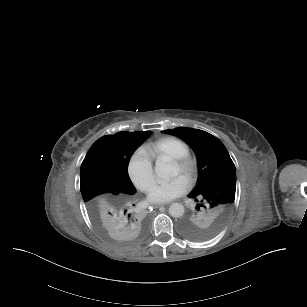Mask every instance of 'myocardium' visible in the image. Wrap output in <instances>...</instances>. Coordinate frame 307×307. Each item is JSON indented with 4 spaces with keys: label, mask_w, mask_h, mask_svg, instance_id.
Instances as JSON below:
<instances>
[{
    "label": "myocardium",
    "mask_w": 307,
    "mask_h": 307,
    "mask_svg": "<svg viewBox=\"0 0 307 307\" xmlns=\"http://www.w3.org/2000/svg\"><path fill=\"white\" fill-rule=\"evenodd\" d=\"M171 159L178 166L179 174L188 180H194L201 171V157L193 150L171 157Z\"/></svg>",
    "instance_id": "1"
}]
</instances>
